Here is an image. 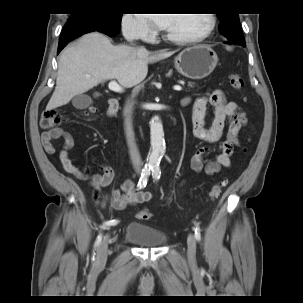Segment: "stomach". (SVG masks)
<instances>
[{
  "mask_svg": "<svg viewBox=\"0 0 303 303\" xmlns=\"http://www.w3.org/2000/svg\"><path fill=\"white\" fill-rule=\"evenodd\" d=\"M218 62V56L207 45H194L181 51L175 58L174 65L183 76L199 80L212 73Z\"/></svg>",
  "mask_w": 303,
  "mask_h": 303,
  "instance_id": "stomach-1",
  "label": "stomach"
}]
</instances>
